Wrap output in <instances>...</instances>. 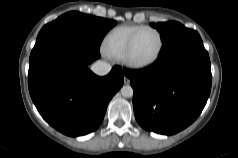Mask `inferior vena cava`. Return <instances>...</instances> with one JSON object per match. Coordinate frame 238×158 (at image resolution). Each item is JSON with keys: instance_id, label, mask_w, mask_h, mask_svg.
<instances>
[{"instance_id": "obj_1", "label": "inferior vena cava", "mask_w": 238, "mask_h": 158, "mask_svg": "<svg viewBox=\"0 0 238 158\" xmlns=\"http://www.w3.org/2000/svg\"><path fill=\"white\" fill-rule=\"evenodd\" d=\"M111 68V65L104 61H97L91 66V70L99 76L107 75L111 71Z\"/></svg>"}]
</instances>
